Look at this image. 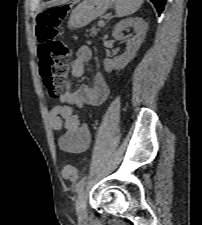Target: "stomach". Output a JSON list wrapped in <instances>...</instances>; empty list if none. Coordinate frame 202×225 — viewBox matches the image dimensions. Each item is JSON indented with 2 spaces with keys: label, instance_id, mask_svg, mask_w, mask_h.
I'll use <instances>...</instances> for the list:
<instances>
[{
  "label": "stomach",
  "instance_id": "1",
  "mask_svg": "<svg viewBox=\"0 0 202 225\" xmlns=\"http://www.w3.org/2000/svg\"><path fill=\"white\" fill-rule=\"evenodd\" d=\"M114 0H84L72 9L68 28L77 29L88 25L102 16L112 5Z\"/></svg>",
  "mask_w": 202,
  "mask_h": 225
}]
</instances>
